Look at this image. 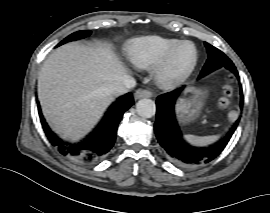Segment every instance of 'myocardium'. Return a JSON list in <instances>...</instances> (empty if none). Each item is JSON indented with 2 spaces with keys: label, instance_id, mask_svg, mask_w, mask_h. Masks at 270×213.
Returning <instances> with one entry per match:
<instances>
[{
  "label": "myocardium",
  "instance_id": "f54148a6",
  "mask_svg": "<svg viewBox=\"0 0 270 213\" xmlns=\"http://www.w3.org/2000/svg\"><path fill=\"white\" fill-rule=\"evenodd\" d=\"M182 44H189L193 48L194 56L191 63L182 70H173L172 60L173 56L179 46ZM198 62V51L195 44L188 40L177 41L172 45L169 50L164 54V56L154 65L153 75L156 82L163 88L173 89L183 83H185L188 78L194 72Z\"/></svg>",
  "mask_w": 270,
  "mask_h": 213
}]
</instances>
